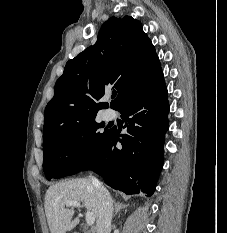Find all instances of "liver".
<instances>
[{
	"instance_id": "liver-1",
	"label": "liver",
	"mask_w": 227,
	"mask_h": 233,
	"mask_svg": "<svg viewBox=\"0 0 227 233\" xmlns=\"http://www.w3.org/2000/svg\"><path fill=\"white\" fill-rule=\"evenodd\" d=\"M68 201L82 202L87 212L98 218L99 201L90 178L59 182L51 185L45 194V214L51 233H66L79 223L78 217L72 220L74 208H65Z\"/></svg>"
}]
</instances>
